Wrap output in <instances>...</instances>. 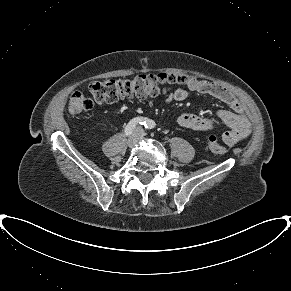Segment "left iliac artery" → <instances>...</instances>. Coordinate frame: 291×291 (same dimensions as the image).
<instances>
[{
    "mask_svg": "<svg viewBox=\"0 0 291 291\" xmlns=\"http://www.w3.org/2000/svg\"><path fill=\"white\" fill-rule=\"evenodd\" d=\"M144 126L146 129H152L155 127V123L152 120H148Z\"/></svg>",
    "mask_w": 291,
    "mask_h": 291,
    "instance_id": "left-iliac-artery-1",
    "label": "left iliac artery"
}]
</instances>
